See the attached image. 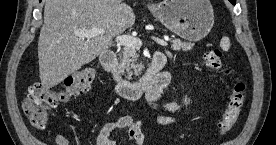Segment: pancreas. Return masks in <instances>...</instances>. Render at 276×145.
<instances>
[{
    "label": "pancreas",
    "instance_id": "pancreas-1",
    "mask_svg": "<svg viewBox=\"0 0 276 145\" xmlns=\"http://www.w3.org/2000/svg\"><path fill=\"white\" fill-rule=\"evenodd\" d=\"M193 46L194 44L183 42L180 39L171 40V49L175 51H189ZM138 56L136 49L129 47H125L119 53V69L122 73L126 74L127 79H132V76H138L142 71L143 66L138 63Z\"/></svg>",
    "mask_w": 276,
    "mask_h": 145
}]
</instances>
